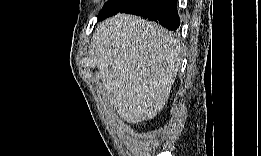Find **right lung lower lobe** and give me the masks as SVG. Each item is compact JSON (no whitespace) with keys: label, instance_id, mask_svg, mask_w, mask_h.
Here are the masks:
<instances>
[{"label":"right lung lower lobe","instance_id":"98d812e1","mask_svg":"<svg viewBox=\"0 0 261 156\" xmlns=\"http://www.w3.org/2000/svg\"><path fill=\"white\" fill-rule=\"evenodd\" d=\"M119 12L146 17L169 30H176L180 25L176 0H132Z\"/></svg>","mask_w":261,"mask_h":156}]
</instances>
